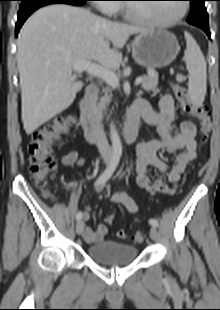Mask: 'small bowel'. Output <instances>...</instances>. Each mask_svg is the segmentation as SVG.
<instances>
[{
	"label": "small bowel",
	"instance_id": "c3829d8e",
	"mask_svg": "<svg viewBox=\"0 0 220 310\" xmlns=\"http://www.w3.org/2000/svg\"><path fill=\"white\" fill-rule=\"evenodd\" d=\"M141 114L149 124L157 127L160 139L150 140L137 147L136 161V181L137 184L152 195L159 193L174 195L177 191L182 174L188 164L197 156L196 125L189 120L180 124L179 132L175 135L171 133V126L175 120L174 101L171 95H165L160 100L159 110H154L145 100L136 101L132 107ZM161 150L179 151L175 158L174 166L168 171L167 164L157 156ZM62 164L65 166L82 165L85 161L77 151H71L62 157ZM155 167L159 172L168 175V183L161 179L151 181L147 175V168ZM95 190L102 192L105 190V183L95 184ZM110 200L115 204L122 205L131 214L138 212L136 202L123 191H112ZM89 207L81 212L82 218H89ZM107 234V226L98 224L93 230L84 227L83 235L88 243H99L104 240Z\"/></svg>",
	"mask_w": 220,
	"mask_h": 310
}]
</instances>
